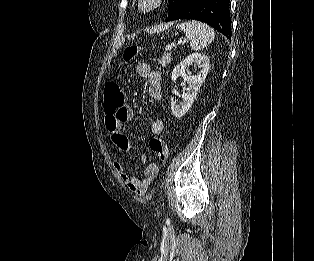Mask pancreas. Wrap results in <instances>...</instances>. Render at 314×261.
Here are the masks:
<instances>
[{"label": "pancreas", "mask_w": 314, "mask_h": 261, "mask_svg": "<svg viewBox=\"0 0 314 261\" xmlns=\"http://www.w3.org/2000/svg\"><path fill=\"white\" fill-rule=\"evenodd\" d=\"M172 60V53L169 51H165L162 57L158 59V64H160L161 67H166L170 64Z\"/></svg>", "instance_id": "cf45deb5"}]
</instances>
